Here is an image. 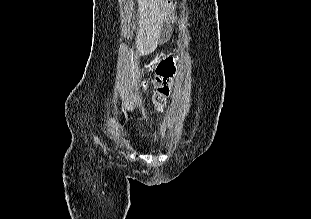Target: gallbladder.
Wrapping results in <instances>:
<instances>
[{
	"label": "gallbladder",
	"instance_id": "gallbladder-1",
	"mask_svg": "<svg viewBox=\"0 0 311 219\" xmlns=\"http://www.w3.org/2000/svg\"><path fill=\"white\" fill-rule=\"evenodd\" d=\"M171 36V26L168 22H163L160 33H159V42L165 43Z\"/></svg>",
	"mask_w": 311,
	"mask_h": 219
}]
</instances>
